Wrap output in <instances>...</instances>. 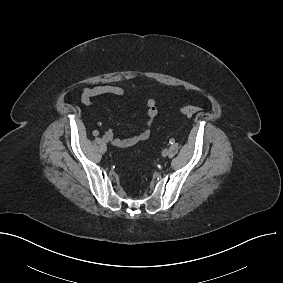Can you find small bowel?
Here are the masks:
<instances>
[{
    "instance_id": "obj_1",
    "label": "small bowel",
    "mask_w": 283,
    "mask_h": 283,
    "mask_svg": "<svg viewBox=\"0 0 283 283\" xmlns=\"http://www.w3.org/2000/svg\"><path fill=\"white\" fill-rule=\"evenodd\" d=\"M125 90L116 85H99L95 87H86L82 91L81 100L84 105H91L93 100L96 97L103 95H112V96H123ZM147 122L144 128L136 135L119 138L114 137V134L111 130L106 132L107 137L112 141V144L119 148H128L132 147L139 142L145 141L150 137L151 128L158 116V108L156 101L152 98H149L145 102Z\"/></svg>"
}]
</instances>
